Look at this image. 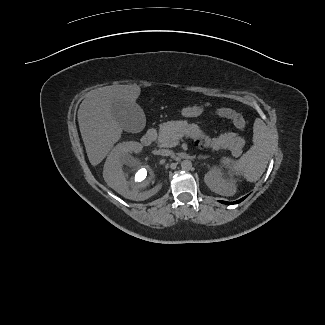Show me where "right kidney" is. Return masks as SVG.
Returning <instances> with one entry per match:
<instances>
[{
	"mask_svg": "<svg viewBox=\"0 0 325 325\" xmlns=\"http://www.w3.org/2000/svg\"><path fill=\"white\" fill-rule=\"evenodd\" d=\"M139 151L140 145L136 142L118 144L108 155L103 170L108 186L123 197L135 201L146 200L161 188L148 162L132 155Z\"/></svg>",
	"mask_w": 325,
	"mask_h": 325,
	"instance_id": "ca27d5eb",
	"label": "right kidney"
}]
</instances>
